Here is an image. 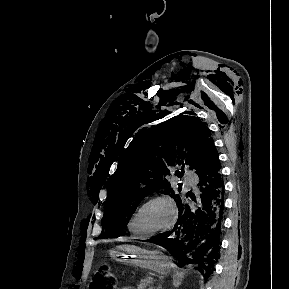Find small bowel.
Here are the masks:
<instances>
[{
	"label": "small bowel",
	"mask_w": 289,
	"mask_h": 289,
	"mask_svg": "<svg viewBox=\"0 0 289 289\" xmlns=\"http://www.w3.org/2000/svg\"><path fill=\"white\" fill-rule=\"evenodd\" d=\"M122 289H131V288H129V287H125V288H122Z\"/></svg>",
	"instance_id": "c3829d8e"
}]
</instances>
